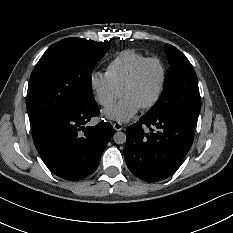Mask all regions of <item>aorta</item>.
I'll return each instance as SVG.
<instances>
[{"instance_id": "1", "label": "aorta", "mask_w": 233, "mask_h": 233, "mask_svg": "<svg viewBox=\"0 0 233 233\" xmlns=\"http://www.w3.org/2000/svg\"><path fill=\"white\" fill-rule=\"evenodd\" d=\"M113 140L116 144H123L126 142V134L124 132H116L113 135Z\"/></svg>"}]
</instances>
